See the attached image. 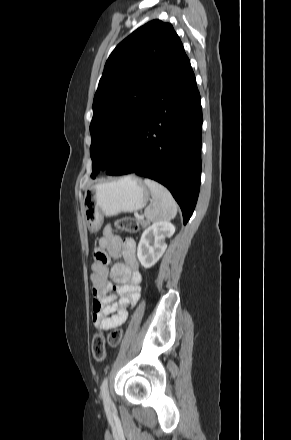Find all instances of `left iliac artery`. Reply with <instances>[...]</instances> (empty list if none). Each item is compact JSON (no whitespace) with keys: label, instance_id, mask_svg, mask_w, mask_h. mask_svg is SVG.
I'll use <instances>...</instances> for the list:
<instances>
[{"label":"left iliac artery","instance_id":"obj_1","mask_svg":"<svg viewBox=\"0 0 291 440\" xmlns=\"http://www.w3.org/2000/svg\"><path fill=\"white\" fill-rule=\"evenodd\" d=\"M100 393L102 395L103 402L106 406L111 405V397L108 389V376L104 378L100 387Z\"/></svg>","mask_w":291,"mask_h":440}]
</instances>
